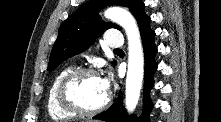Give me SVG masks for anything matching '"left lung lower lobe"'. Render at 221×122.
<instances>
[{"instance_id":"0a47b994","label":"left lung lower lobe","mask_w":221,"mask_h":122,"mask_svg":"<svg viewBox=\"0 0 221 122\" xmlns=\"http://www.w3.org/2000/svg\"><path fill=\"white\" fill-rule=\"evenodd\" d=\"M144 7V3L141 0H138L132 10L140 28L145 58L143 112L139 119H136V117L133 116L128 117L124 107L122 106V94L120 92V95L114 104L105 112L94 116L93 119H99L107 122H150L149 114L153 104L149 93L154 85L153 75L157 70V64L155 62L157 47L154 44L155 32L150 28L151 19L145 13Z\"/></svg>"}]
</instances>
